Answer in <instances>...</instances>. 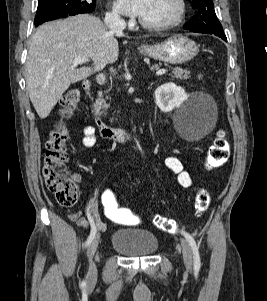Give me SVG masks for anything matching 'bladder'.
Returning <instances> with one entry per match:
<instances>
[{"mask_svg": "<svg viewBox=\"0 0 267 301\" xmlns=\"http://www.w3.org/2000/svg\"><path fill=\"white\" fill-rule=\"evenodd\" d=\"M111 247L129 257L148 256L157 251L158 239L148 230L122 228L113 233Z\"/></svg>", "mask_w": 267, "mask_h": 301, "instance_id": "bladder-1", "label": "bladder"}]
</instances>
